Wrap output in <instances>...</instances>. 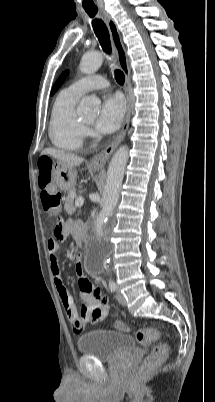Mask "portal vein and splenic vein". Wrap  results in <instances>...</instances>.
Returning a JSON list of instances; mask_svg holds the SVG:
<instances>
[{
  "label": "portal vein and splenic vein",
  "instance_id": "portal-vein-and-splenic-vein-1",
  "mask_svg": "<svg viewBox=\"0 0 215 402\" xmlns=\"http://www.w3.org/2000/svg\"><path fill=\"white\" fill-rule=\"evenodd\" d=\"M84 204V198L83 197H78L75 201V205L77 207H81Z\"/></svg>",
  "mask_w": 215,
  "mask_h": 402
}]
</instances>
